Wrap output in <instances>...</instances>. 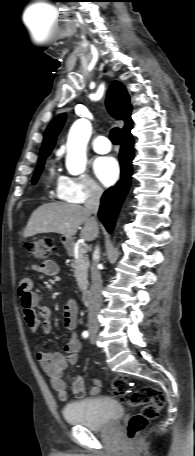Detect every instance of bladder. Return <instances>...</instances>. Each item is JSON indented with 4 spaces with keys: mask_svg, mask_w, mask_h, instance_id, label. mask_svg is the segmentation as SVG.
Instances as JSON below:
<instances>
[{
    "mask_svg": "<svg viewBox=\"0 0 195 456\" xmlns=\"http://www.w3.org/2000/svg\"><path fill=\"white\" fill-rule=\"evenodd\" d=\"M63 417L69 424L92 430L105 429L123 415V407L110 398H91L69 403L63 408Z\"/></svg>",
    "mask_w": 195,
    "mask_h": 456,
    "instance_id": "obj_1",
    "label": "bladder"
}]
</instances>
